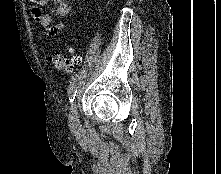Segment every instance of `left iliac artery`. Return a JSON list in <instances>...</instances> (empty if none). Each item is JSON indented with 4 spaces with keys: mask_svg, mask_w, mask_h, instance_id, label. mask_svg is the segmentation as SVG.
I'll list each match as a JSON object with an SVG mask.
<instances>
[{
    "mask_svg": "<svg viewBox=\"0 0 221 174\" xmlns=\"http://www.w3.org/2000/svg\"><path fill=\"white\" fill-rule=\"evenodd\" d=\"M78 75L75 74L70 81L68 95H69V102L72 103L75 100V96L77 93V85H78Z\"/></svg>",
    "mask_w": 221,
    "mask_h": 174,
    "instance_id": "44dca946",
    "label": "left iliac artery"
}]
</instances>
